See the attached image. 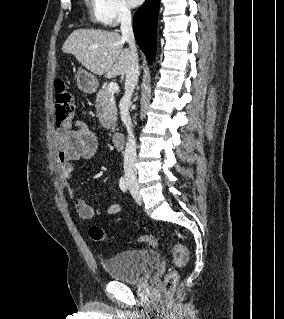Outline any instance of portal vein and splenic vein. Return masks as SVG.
Returning <instances> with one entry per match:
<instances>
[{"label": "portal vein and splenic vein", "mask_w": 284, "mask_h": 319, "mask_svg": "<svg viewBox=\"0 0 284 319\" xmlns=\"http://www.w3.org/2000/svg\"><path fill=\"white\" fill-rule=\"evenodd\" d=\"M107 89H108V92H109V93L114 94V93H116V92L119 90V87H118V84H117V83L111 82V83L108 85Z\"/></svg>", "instance_id": "1"}]
</instances>
